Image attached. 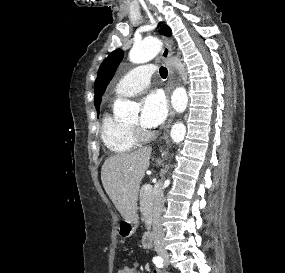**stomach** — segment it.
<instances>
[{
    "label": "stomach",
    "instance_id": "stomach-1",
    "mask_svg": "<svg viewBox=\"0 0 285 273\" xmlns=\"http://www.w3.org/2000/svg\"><path fill=\"white\" fill-rule=\"evenodd\" d=\"M137 217L134 220H124L119 226V232L123 235L131 234L136 229Z\"/></svg>",
    "mask_w": 285,
    "mask_h": 273
}]
</instances>
